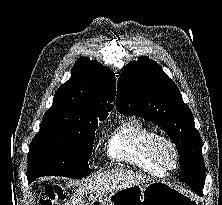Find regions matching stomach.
<instances>
[{"label": "stomach", "mask_w": 222, "mask_h": 205, "mask_svg": "<svg viewBox=\"0 0 222 205\" xmlns=\"http://www.w3.org/2000/svg\"><path fill=\"white\" fill-rule=\"evenodd\" d=\"M195 195L164 181L133 185L99 198L92 205H199Z\"/></svg>", "instance_id": "1"}]
</instances>
